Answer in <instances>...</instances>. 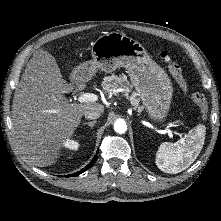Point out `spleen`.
Instances as JSON below:
<instances>
[{
  "mask_svg": "<svg viewBox=\"0 0 221 221\" xmlns=\"http://www.w3.org/2000/svg\"><path fill=\"white\" fill-rule=\"evenodd\" d=\"M205 134L206 127L199 124L176 143H162L156 153L157 167L170 174L187 169L202 150Z\"/></svg>",
  "mask_w": 221,
  "mask_h": 221,
  "instance_id": "spleen-1",
  "label": "spleen"
}]
</instances>
